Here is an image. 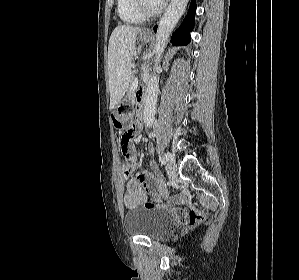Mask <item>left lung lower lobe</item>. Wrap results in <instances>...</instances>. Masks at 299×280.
I'll list each match as a JSON object with an SVG mask.
<instances>
[{"mask_svg": "<svg viewBox=\"0 0 299 280\" xmlns=\"http://www.w3.org/2000/svg\"><path fill=\"white\" fill-rule=\"evenodd\" d=\"M195 13H196V4H195V0H192L187 16L185 17L179 29L172 36L171 42L174 45H187L190 42L189 32L193 29L194 26ZM156 29L157 26L154 27L155 31Z\"/></svg>", "mask_w": 299, "mask_h": 280, "instance_id": "left-lung-lower-lobe-1", "label": "left lung lower lobe"}]
</instances>
